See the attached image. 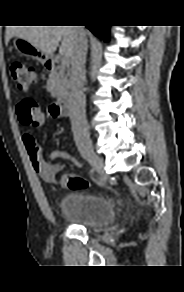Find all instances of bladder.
<instances>
[{"mask_svg": "<svg viewBox=\"0 0 184 292\" xmlns=\"http://www.w3.org/2000/svg\"><path fill=\"white\" fill-rule=\"evenodd\" d=\"M62 217L87 229H100L111 224L116 217L113 202L102 195L75 190L59 204Z\"/></svg>", "mask_w": 184, "mask_h": 292, "instance_id": "obj_1", "label": "bladder"}]
</instances>
